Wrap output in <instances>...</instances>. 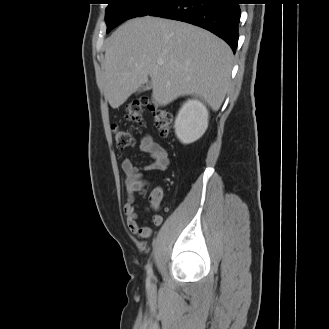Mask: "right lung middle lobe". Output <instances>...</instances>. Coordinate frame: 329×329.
Returning a JSON list of instances; mask_svg holds the SVG:
<instances>
[{
  "instance_id": "1",
  "label": "right lung middle lobe",
  "mask_w": 329,
  "mask_h": 329,
  "mask_svg": "<svg viewBox=\"0 0 329 329\" xmlns=\"http://www.w3.org/2000/svg\"><path fill=\"white\" fill-rule=\"evenodd\" d=\"M172 0H108L105 21L107 32L122 23L133 18L146 16L171 2Z\"/></svg>"
}]
</instances>
